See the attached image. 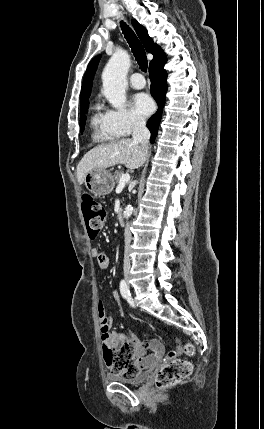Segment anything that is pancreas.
Here are the masks:
<instances>
[{
    "mask_svg": "<svg viewBox=\"0 0 264 429\" xmlns=\"http://www.w3.org/2000/svg\"><path fill=\"white\" fill-rule=\"evenodd\" d=\"M123 175L122 171H115L114 173V179L116 180V182H119L120 177Z\"/></svg>",
    "mask_w": 264,
    "mask_h": 429,
    "instance_id": "cf45deb5",
    "label": "pancreas"
}]
</instances>
